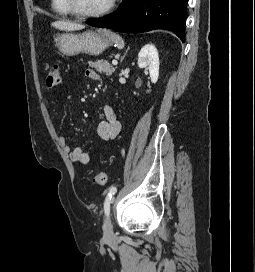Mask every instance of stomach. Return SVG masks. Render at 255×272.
<instances>
[{"label":"stomach","instance_id":"1","mask_svg":"<svg viewBox=\"0 0 255 272\" xmlns=\"http://www.w3.org/2000/svg\"><path fill=\"white\" fill-rule=\"evenodd\" d=\"M111 43V39L103 33L93 31H86L81 34L64 33L56 39V47L66 56H75L81 53L98 56Z\"/></svg>","mask_w":255,"mask_h":272}]
</instances>
